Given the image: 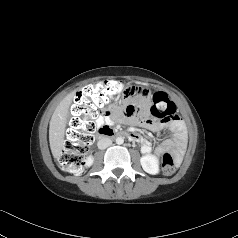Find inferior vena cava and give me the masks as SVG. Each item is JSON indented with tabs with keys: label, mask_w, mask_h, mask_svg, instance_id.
Wrapping results in <instances>:
<instances>
[{
	"label": "inferior vena cava",
	"mask_w": 238,
	"mask_h": 238,
	"mask_svg": "<svg viewBox=\"0 0 238 238\" xmlns=\"http://www.w3.org/2000/svg\"><path fill=\"white\" fill-rule=\"evenodd\" d=\"M111 145H112V140L107 137L101 138L97 143V146L99 149H106L107 147Z\"/></svg>",
	"instance_id": "1"
}]
</instances>
